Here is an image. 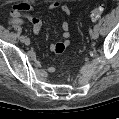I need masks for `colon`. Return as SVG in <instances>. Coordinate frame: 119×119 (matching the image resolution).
I'll list each match as a JSON object with an SVG mask.
<instances>
[{
    "mask_svg": "<svg viewBox=\"0 0 119 119\" xmlns=\"http://www.w3.org/2000/svg\"><path fill=\"white\" fill-rule=\"evenodd\" d=\"M104 13V7L99 5V6H96L95 8H93L90 12V18L93 20V21H96L98 19H100L102 17Z\"/></svg>",
    "mask_w": 119,
    "mask_h": 119,
    "instance_id": "obj_1",
    "label": "colon"
}]
</instances>
